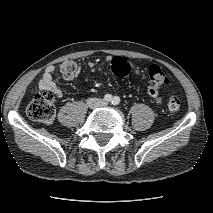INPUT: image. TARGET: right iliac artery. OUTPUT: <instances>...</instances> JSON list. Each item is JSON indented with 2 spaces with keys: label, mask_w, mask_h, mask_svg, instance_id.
<instances>
[{
  "label": "right iliac artery",
  "mask_w": 213,
  "mask_h": 213,
  "mask_svg": "<svg viewBox=\"0 0 213 213\" xmlns=\"http://www.w3.org/2000/svg\"><path fill=\"white\" fill-rule=\"evenodd\" d=\"M104 100L107 101V102L112 101V95L106 94V95L104 96Z\"/></svg>",
  "instance_id": "right-iliac-artery-1"
}]
</instances>
